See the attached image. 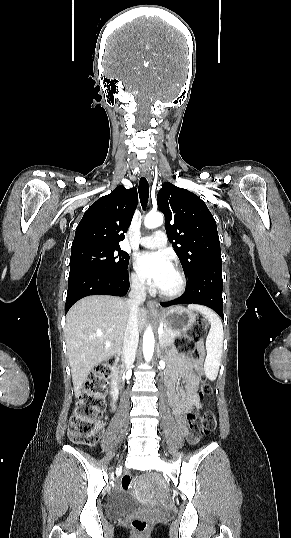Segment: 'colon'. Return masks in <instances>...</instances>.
Masks as SVG:
<instances>
[{
  "label": "colon",
  "instance_id": "obj_1",
  "mask_svg": "<svg viewBox=\"0 0 291 538\" xmlns=\"http://www.w3.org/2000/svg\"><path fill=\"white\" fill-rule=\"evenodd\" d=\"M206 322L198 321L184 335L178 337L174 344L183 354L188 355L193 360L199 359V353L195 348L197 339L205 332ZM116 358L112 357L107 362L95 367L89 374L84 384L83 390L76 402L68 427V436L74 443L93 444L101 434V416L105 407L104 391L105 383L111 376L112 365L116 363ZM212 389L206 382L199 386V397L204 399L210 395ZM190 433L199 438L212 432L216 427V418L211 411H206L202 415L197 412H190L186 417ZM133 483L130 474L123 475L121 487L127 491ZM131 527L138 538H144L148 532V521L142 517L133 518Z\"/></svg>",
  "mask_w": 291,
  "mask_h": 538
}]
</instances>
